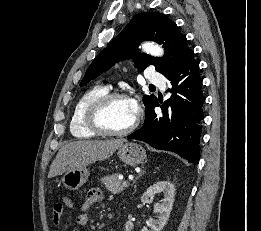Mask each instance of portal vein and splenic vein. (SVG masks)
Segmentation results:
<instances>
[{
	"mask_svg": "<svg viewBox=\"0 0 261 231\" xmlns=\"http://www.w3.org/2000/svg\"><path fill=\"white\" fill-rule=\"evenodd\" d=\"M123 184L128 185L129 183H128V181H123Z\"/></svg>",
	"mask_w": 261,
	"mask_h": 231,
	"instance_id": "1",
	"label": "portal vein and splenic vein"
}]
</instances>
